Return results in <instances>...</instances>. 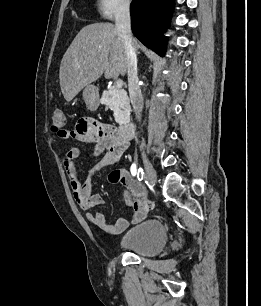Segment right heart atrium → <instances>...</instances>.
I'll return each mask as SVG.
<instances>
[{
  "label": "right heart atrium",
  "instance_id": "obj_1",
  "mask_svg": "<svg viewBox=\"0 0 261 306\" xmlns=\"http://www.w3.org/2000/svg\"><path fill=\"white\" fill-rule=\"evenodd\" d=\"M131 0H96L97 14L104 19H112L116 15L129 10Z\"/></svg>",
  "mask_w": 261,
  "mask_h": 306
}]
</instances>
